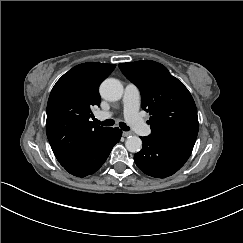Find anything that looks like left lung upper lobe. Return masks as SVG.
Returning <instances> with one entry per match:
<instances>
[{"label": "left lung upper lobe", "mask_w": 243, "mask_h": 243, "mask_svg": "<svg viewBox=\"0 0 243 243\" xmlns=\"http://www.w3.org/2000/svg\"><path fill=\"white\" fill-rule=\"evenodd\" d=\"M122 73L140 90L153 136L194 145L198 134L195 102L181 81L150 60L121 63Z\"/></svg>", "instance_id": "1"}]
</instances>
